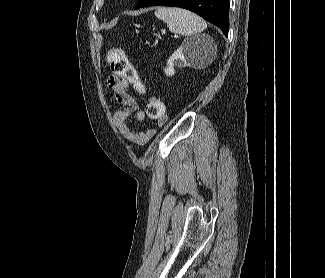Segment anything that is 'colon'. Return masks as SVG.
I'll return each instance as SVG.
<instances>
[{
	"label": "colon",
	"mask_w": 325,
	"mask_h": 278,
	"mask_svg": "<svg viewBox=\"0 0 325 278\" xmlns=\"http://www.w3.org/2000/svg\"><path fill=\"white\" fill-rule=\"evenodd\" d=\"M110 70L118 78L131 83L139 91H144L137 69L132 65L126 53L120 48H112L106 56ZM146 114L151 119L163 120L165 118V106L158 98H151L146 106Z\"/></svg>",
	"instance_id": "1"
}]
</instances>
